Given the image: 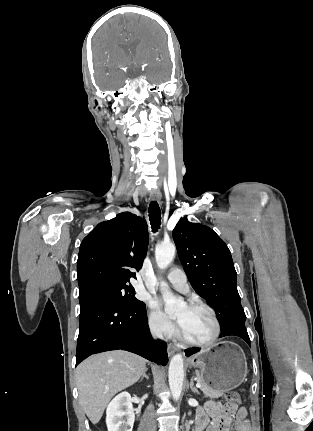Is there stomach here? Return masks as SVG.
<instances>
[{"label": "stomach", "mask_w": 313, "mask_h": 431, "mask_svg": "<svg viewBox=\"0 0 313 431\" xmlns=\"http://www.w3.org/2000/svg\"><path fill=\"white\" fill-rule=\"evenodd\" d=\"M197 368L201 381L213 390L226 392L240 386L247 375L243 350L234 342L223 341L201 350L188 360Z\"/></svg>", "instance_id": "1"}]
</instances>
